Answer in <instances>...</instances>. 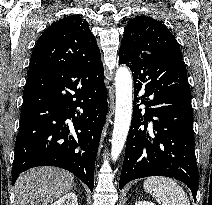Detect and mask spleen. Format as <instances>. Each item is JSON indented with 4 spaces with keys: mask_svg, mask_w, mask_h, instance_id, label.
<instances>
[{
    "mask_svg": "<svg viewBox=\"0 0 212 205\" xmlns=\"http://www.w3.org/2000/svg\"><path fill=\"white\" fill-rule=\"evenodd\" d=\"M143 187L160 205H190L183 188L171 178L149 177L144 180Z\"/></svg>",
    "mask_w": 212,
    "mask_h": 205,
    "instance_id": "1",
    "label": "spleen"
}]
</instances>
